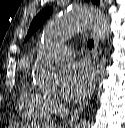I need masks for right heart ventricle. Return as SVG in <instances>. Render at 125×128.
<instances>
[{
    "instance_id": "right-heart-ventricle-1",
    "label": "right heart ventricle",
    "mask_w": 125,
    "mask_h": 128,
    "mask_svg": "<svg viewBox=\"0 0 125 128\" xmlns=\"http://www.w3.org/2000/svg\"><path fill=\"white\" fill-rule=\"evenodd\" d=\"M18 106L24 117L38 121L50 119L54 111L47 95L29 83L21 87Z\"/></svg>"
}]
</instances>
